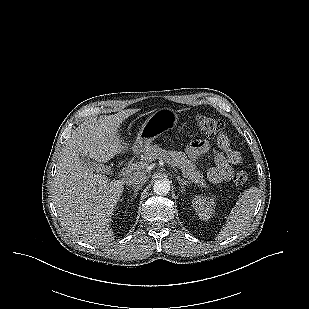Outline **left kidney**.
<instances>
[{"instance_id": "obj_1", "label": "left kidney", "mask_w": 309, "mask_h": 309, "mask_svg": "<svg viewBox=\"0 0 309 309\" xmlns=\"http://www.w3.org/2000/svg\"><path fill=\"white\" fill-rule=\"evenodd\" d=\"M192 204L200 219L207 221L212 217L214 213L213 208H215V198H207L202 195H197L193 198Z\"/></svg>"}]
</instances>
